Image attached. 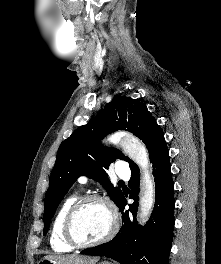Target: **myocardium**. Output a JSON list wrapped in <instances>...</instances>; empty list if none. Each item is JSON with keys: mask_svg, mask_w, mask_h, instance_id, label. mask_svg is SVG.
Returning <instances> with one entry per match:
<instances>
[{"mask_svg": "<svg viewBox=\"0 0 221 264\" xmlns=\"http://www.w3.org/2000/svg\"><path fill=\"white\" fill-rule=\"evenodd\" d=\"M96 202L104 205L109 211L111 222L108 232L100 239L92 242L79 241L74 233V220L78 211L87 203ZM119 228V215L113 203L99 195H86L78 198L68 209L63 222V235L66 242L74 248H90L102 245L111 240Z\"/></svg>", "mask_w": 221, "mask_h": 264, "instance_id": "1", "label": "myocardium"}]
</instances>
